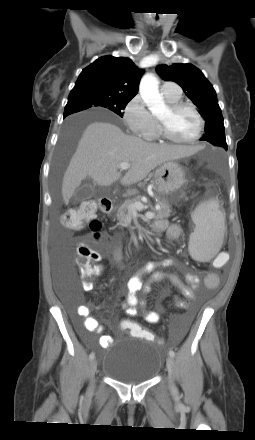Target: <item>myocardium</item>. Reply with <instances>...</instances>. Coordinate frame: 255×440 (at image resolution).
I'll return each mask as SVG.
<instances>
[{
	"instance_id": "obj_1",
	"label": "myocardium",
	"mask_w": 255,
	"mask_h": 440,
	"mask_svg": "<svg viewBox=\"0 0 255 440\" xmlns=\"http://www.w3.org/2000/svg\"><path fill=\"white\" fill-rule=\"evenodd\" d=\"M169 109H170L171 113H176V112L183 110V109L191 110L195 114V116L197 117L198 130L195 133V135L189 139H185V140L177 139L171 134V132L168 128L167 122L159 119V127H160V131H161L163 138L169 142L176 143V144H191V143H194L197 140H199L200 137L202 136L204 126H205L204 118L202 117L200 112L192 104L182 102V101L174 103V104H170Z\"/></svg>"
}]
</instances>
